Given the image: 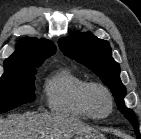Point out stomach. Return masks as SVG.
<instances>
[{"label": "stomach", "mask_w": 141, "mask_h": 139, "mask_svg": "<svg viewBox=\"0 0 141 139\" xmlns=\"http://www.w3.org/2000/svg\"><path fill=\"white\" fill-rule=\"evenodd\" d=\"M74 139H105V137L98 131L92 129L77 133Z\"/></svg>", "instance_id": "0dacf381"}]
</instances>
